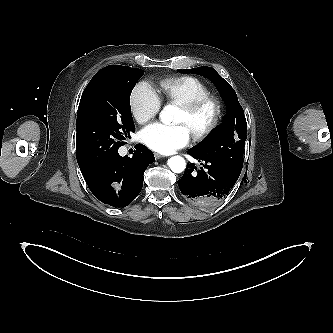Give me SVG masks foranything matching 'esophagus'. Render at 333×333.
<instances>
[{"label": "esophagus", "instance_id": "1", "mask_svg": "<svg viewBox=\"0 0 333 333\" xmlns=\"http://www.w3.org/2000/svg\"><path fill=\"white\" fill-rule=\"evenodd\" d=\"M155 159L163 158L164 156L159 153H154Z\"/></svg>", "mask_w": 333, "mask_h": 333}]
</instances>
